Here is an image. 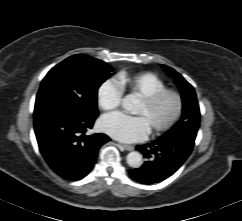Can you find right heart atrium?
Here are the masks:
<instances>
[{
    "instance_id": "d8ad5b80",
    "label": "right heart atrium",
    "mask_w": 242,
    "mask_h": 221,
    "mask_svg": "<svg viewBox=\"0 0 242 221\" xmlns=\"http://www.w3.org/2000/svg\"><path fill=\"white\" fill-rule=\"evenodd\" d=\"M123 96V91L115 79H107L101 83L97 89V103L104 111H111L119 104Z\"/></svg>"
}]
</instances>
